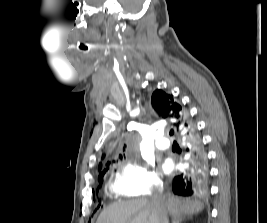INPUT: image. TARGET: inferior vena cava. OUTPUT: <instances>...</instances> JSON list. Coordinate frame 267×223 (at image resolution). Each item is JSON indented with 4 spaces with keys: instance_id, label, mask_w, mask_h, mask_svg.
<instances>
[{
    "instance_id": "obj_1",
    "label": "inferior vena cava",
    "mask_w": 267,
    "mask_h": 223,
    "mask_svg": "<svg viewBox=\"0 0 267 223\" xmlns=\"http://www.w3.org/2000/svg\"><path fill=\"white\" fill-rule=\"evenodd\" d=\"M166 197L163 193V186H159L152 197V201L159 211L158 223H168L167 210L165 205Z\"/></svg>"
}]
</instances>
